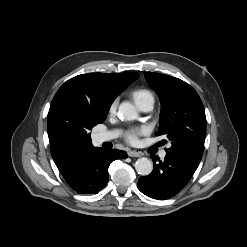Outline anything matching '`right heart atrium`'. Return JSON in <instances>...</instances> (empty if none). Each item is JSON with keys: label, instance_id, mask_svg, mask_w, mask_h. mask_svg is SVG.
Returning <instances> with one entry per match:
<instances>
[{"label": "right heart atrium", "instance_id": "obj_1", "mask_svg": "<svg viewBox=\"0 0 247 247\" xmlns=\"http://www.w3.org/2000/svg\"><path fill=\"white\" fill-rule=\"evenodd\" d=\"M116 108H117V101L114 100L109 106V113H114L116 111Z\"/></svg>", "mask_w": 247, "mask_h": 247}]
</instances>
